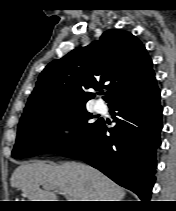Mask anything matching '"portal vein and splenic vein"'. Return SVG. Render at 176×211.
I'll use <instances>...</instances> for the list:
<instances>
[{"instance_id":"obj_1","label":"portal vein and splenic vein","mask_w":176,"mask_h":211,"mask_svg":"<svg viewBox=\"0 0 176 211\" xmlns=\"http://www.w3.org/2000/svg\"><path fill=\"white\" fill-rule=\"evenodd\" d=\"M59 194H62L67 199L66 201H77L76 199H72L71 197L67 196L64 192H58Z\"/></svg>"}]
</instances>
